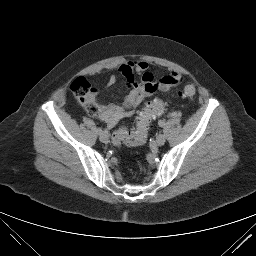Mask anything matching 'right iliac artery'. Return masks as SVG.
<instances>
[{"instance_id":"1","label":"right iliac artery","mask_w":256,"mask_h":256,"mask_svg":"<svg viewBox=\"0 0 256 256\" xmlns=\"http://www.w3.org/2000/svg\"><path fill=\"white\" fill-rule=\"evenodd\" d=\"M97 132H98L99 134H101L103 131H102L101 128H97Z\"/></svg>"}]
</instances>
